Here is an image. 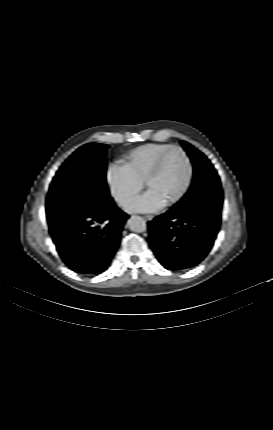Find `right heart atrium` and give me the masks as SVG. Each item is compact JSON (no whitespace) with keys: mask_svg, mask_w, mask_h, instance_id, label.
<instances>
[{"mask_svg":"<svg viewBox=\"0 0 273 430\" xmlns=\"http://www.w3.org/2000/svg\"><path fill=\"white\" fill-rule=\"evenodd\" d=\"M105 179L111 196L120 207L127 206L143 188V182L120 162L108 165Z\"/></svg>","mask_w":273,"mask_h":430,"instance_id":"d8ad5b80","label":"right heart atrium"}]
</instances>
